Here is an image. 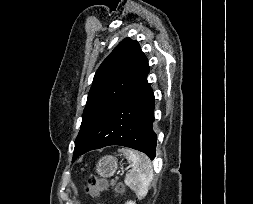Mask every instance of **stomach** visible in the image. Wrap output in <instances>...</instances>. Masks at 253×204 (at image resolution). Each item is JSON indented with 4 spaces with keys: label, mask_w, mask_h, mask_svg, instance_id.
I'll return each instance as SVG.
<instances>
[{
    "label": "stomach",
    "mask_w": 253,
    "mask_h": 204,
    "mask_svg": "<svg viewBox=\"0 0 253 204\" xmlns=\"http://www.w3.org/2000/svg\"><path fill=\"white\" fill-rule=\"evenodd\" d=\"M118 169V161L116 157L107 155L102 157L97 165L96 172L99 176L103 178L112 177Z\"/></svg>",
    "instance_id": "1"
}]
</instances>
